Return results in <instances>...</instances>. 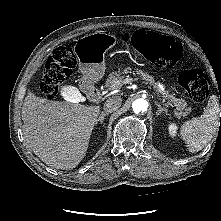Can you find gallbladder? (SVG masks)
Listing matches in <instances>:
<instances>
[{"mask_svg": "<svg viewBox=\"0 0 221 221\" xmlns=\"http://www.w3.org/2000/svg\"><path fill=\"white\" fill-rule=\"evenodd\" d=\"M58 94L61 98L67 99V101L74 106H79L84 101L83 94L70 84L61 85L58 89Z\"/></svg>", "mask_w": 221, "mask_h": 221, "instance_id": "1", "label": "gallbladder"}]
</instances>
